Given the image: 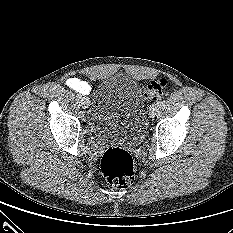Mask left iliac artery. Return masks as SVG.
<instances>
[{"label":"left iliac artery","mask_w":233,"mask_h":233,"mask_svg":"<svg viewBox=\"0 0 233 233\" xmlns=\"http://www.w3.org/2000/svg\"><path fill=\"white\" fill-rule=\"evenodd\" d=\"M163 103H164V101H163V100H159V101L157 102V105L160 107V106H162V105H163Z\"/></svg>","instance_id":"obj_1"}]
</instances>
